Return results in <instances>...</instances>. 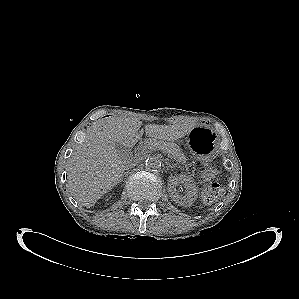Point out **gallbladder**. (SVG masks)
Here are the masks:
<instances>
[{
  "label": "gallbladder",
  "instance_id": "1",
  "mask_svg": "<svg viewBox=\"0 0 299 299\" xmlns=\"http://www.w3.org/2000/svg\"><path fill=\"white\" fill-rule=\"evenodd\" d=\"M115 148H116L117 153L120 154L121 156H127L130 154V150L119 143H117L115 145Z\"/></svg>",
  "mask_w": 299,
  "mask_h": 299
}]
</instances>
